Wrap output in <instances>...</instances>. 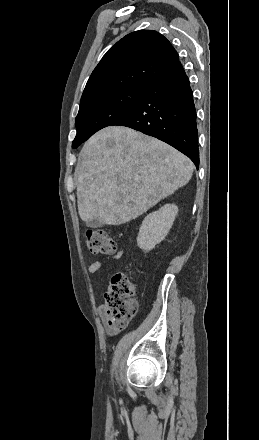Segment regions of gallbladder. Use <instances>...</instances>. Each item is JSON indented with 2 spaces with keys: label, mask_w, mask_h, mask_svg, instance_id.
Wrapping results in <instances>:
<instances>
[{
  "label": "gallbladder",
  "mask_w": 259,
  "mask_h": 440,
  "mask_svg": "<svg viewBox=\"0 0 259 440\" xmlns=\"http://www.w3.org/2000/svg\"><path fill=\"white\" fill-rule=\"evenodd\" d=\"M87 227L100 228L104 226V223L99 219H92L85 222Z\"/></svg>",
  "instance_id": "1"
}]
</instances>
